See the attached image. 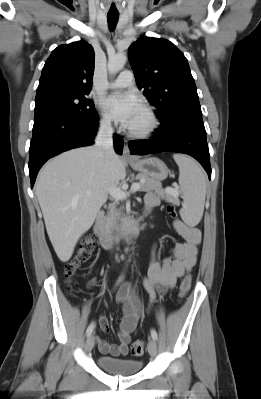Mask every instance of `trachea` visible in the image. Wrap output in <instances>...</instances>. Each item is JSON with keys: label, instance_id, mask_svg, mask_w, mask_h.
Wrapping results in <instances>:
<instances>
[{"label": "trachea", "instance_id": "1", "mask_svg": "<svg viewBox=\"0 0 261 399\" xmlns=\"http://www.w3.org/2000/svg\"><path fill=\"white\" fill-rule=\"evenodd\" d=\"M119 14H107L109 28L113 30L118 22Z\"/></svg>", "mask_w": 261, "mask_h": 399}]
</instances>
